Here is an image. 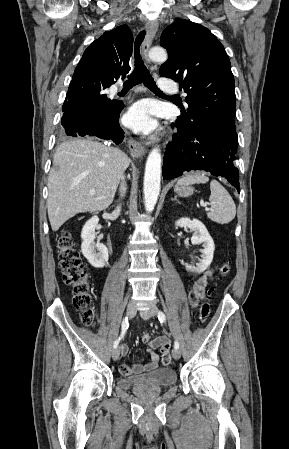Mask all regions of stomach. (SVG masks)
Segmentation results:
<instances>
[{
  "label": "stomach",
  "mask_w": 289,
  "mask_h": 449,
  "mask_svg": "<svg viewBox=\"0 0 289 449\" xmlns=\"http://www.w3.org/2000/svg\"><path fill=\"white\" fill-rule=\"evenodd\" d=\"M175 193L181 197H188L193 194L194 188L190 185H175L174 187Z\"/></svg>",
  "instance_id": "0dacf381"
}]
</instances>
